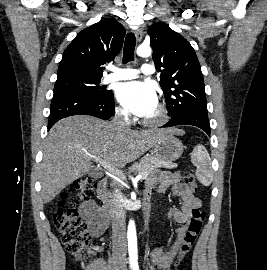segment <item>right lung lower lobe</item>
Wrapping results in <instances>:
<instances>
[{
  "label": "right lung lower lobe",
  "mask_w": 267,
  "mask_h": 270,
  "mask_svg": "<svg viewBox=\"0 0 267 270\" xmlns=\"http://www.w3.org/2000/svg\"><path fill=\"white\" fill-rule=\"evenodd\" d=\"M114 111L113 94L105 98H89L69 94L54 95L50 106L48 130L57 121L68 116L86 114L108 120Z\"/></svg>",
  "instance_id": "98d812e1"
}]
</instances>
